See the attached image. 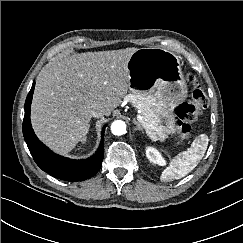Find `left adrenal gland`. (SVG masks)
Instances as JSON below:
<instances>
[{"label": "left adrenal gland", "mask_w": 243, "mask_h": 243, "mask_svg": "<svg viewBox=\"0 0 243 243\" xmlns=\"http://www.w3.org/2000/svg\"><path fill=\"white\" fill-rule=\"evenodd\" d=\"M133 123L137 125V128H135V131L138 130V131H142V132H143V128H142L141 124H140L138 121H136V120L134 119V120H133Z\"/></svg>", "instance_id": "a2214340"}]
</instances>
